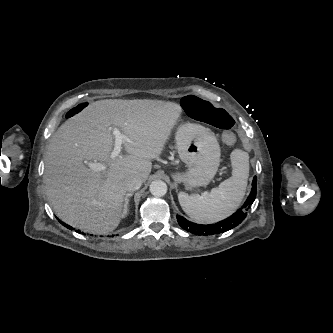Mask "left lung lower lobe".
<instances>
[{
	"label": "left lung lower lobe",
	"mask_w": 333,
	"mask_h": 333,
	"mask_svg": "<svg viewBox=\"0 0 333 333\" xmlns=\"http://www.w3.org/2000/svg\"><path fill=\"white\" fill-rule=\"evenodd\" d=\"M257 177L253 178L252 181V189L250 192V195L246 202L244 203L243 207L244 209L238 210L236 213H234L232 216L229 218L212 224V225H201V224H196L193 222L188 221L185 219L183 216L177 215V221L179 225L186 231L195 234V235H214V234H219L226 232L237 225H239L246 217L247 213L246 210L250 207V205L254 202L255 197H256V190H257Z\"/></svg>",
	"instance_id": "0a47b994"
}]
</instances>
